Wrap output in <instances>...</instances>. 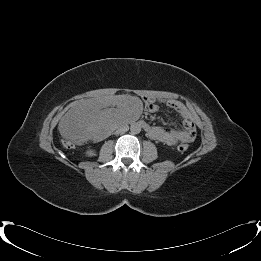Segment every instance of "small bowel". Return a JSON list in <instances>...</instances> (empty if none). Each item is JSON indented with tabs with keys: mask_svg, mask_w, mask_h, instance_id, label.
Returning a JSON list of instances; mask_svg holds the SVG:
<instances>
[{
	"mask_svg": "<svg viewBox=\"0 0 261 261\" xmlns=\"http://www.w3.org/2000/svg\"><path fill=\"white\" fill-rule=\"evenodd\" d=\"M155 101L158 100L152 98L147 101V107L151 112H155L158 109V106L154 103ZM163 104L179 114L182 118L183 130L162 126H150L148 135L168 145H176L181 141L186 143L193 141L196 137V125L191 113L183 104L174 100H164Z\"/></svg>",
	"mask_w": 261,
	"mask_h": 261,
	"instance_id": "c3829d8e",
	"label": "small bowel"
}]
</instances>
